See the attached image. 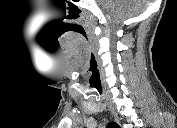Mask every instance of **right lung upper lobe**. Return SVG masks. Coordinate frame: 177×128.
<instances>
[{"mask_svg": "<svg viewBox=\"0 0 177 128\" xmlns=\"http://www.w3.org/2000/svg\"><path fill=\"white\" fill-rule=\"evenodd\" d=\"M108 127L109 128H118L119 126H118V124L111 122V123H109Z\"/></svg>", "mask_w": 177, "mask_h": 128, "instance_id": "obj_1", "label": "right lung upper lobe"}]
</instances>
